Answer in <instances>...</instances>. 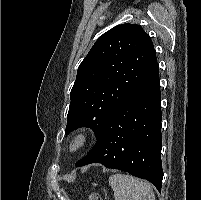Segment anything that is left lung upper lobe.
<instances>
[{"label": "left lung upper lobe", "mask_w": 201, "mask_h": 200, "mask_svg": "<svg viewBox=\"0 0 201 200\" xmlns=\"http://www.w3.org/2000/svg\"><path fill=\"white\" fill-rule=\"evenodd\" d=\"M156 64L153 43L139 25H117L100 36L78 67L65 134L89 127L97 138L115 107Z\"/></svg>", "instance_id": "obj_1"}]
</instances>
